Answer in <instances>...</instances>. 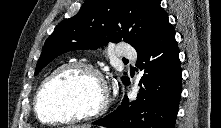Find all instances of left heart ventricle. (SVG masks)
<instances>
[{"label": "left heart ventricle", "mask_w": 221, "mask_h": 128, "mask_svg": "<svg viewBox=\"0 0 221 128\" xmlns=\"http://www.w3.org/2000/svg\"><path fill=\"white\" fill-rule=\"evenodd\" d=\"M101 96V87L91 73L73 70L49 83L41 98L40 111L47 119L75 115L92 109Z\"/></svg>", "instance_id": "1"}]
</instances>
